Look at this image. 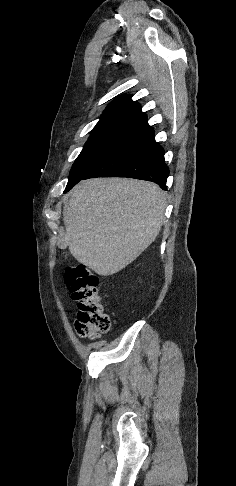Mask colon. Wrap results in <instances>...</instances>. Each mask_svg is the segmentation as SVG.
I'll use <instances>...</instances> for the list:
<instances>
[{
    "mask_svg": "<svg viewBox=\"0 0 236 486\" xmlns=\"http://www.w3.org/2000/svg\"><path fill=\"white\" fill-rule=\"evenodd\" d=\"M65 282L77 303L75 329L82 338L94 339L110 329V318L104 310L98 292L99 278L83 265L70 267Z\"/></svg>",
    "mask_w": 236,
    "mask_h": 486,
    "instance_id": "colon-1",
    "label": "colon"
}]
</instances>
